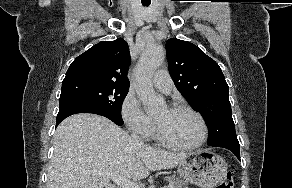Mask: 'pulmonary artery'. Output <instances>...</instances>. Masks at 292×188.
Returning <instances> with one entry per match:
<instances>
[{"label":"pulmonary artery","mask_w":292,"mask_h":188,"mask_svg":"<svg viewBox=\"0 0 292 188\" xmlns=\"http://www.w3.org/2000/svg\"><path fill=\"white\" fill-rule=\"evenodd\" d=\"M152 83L156 89L163 93H169L173 87V80L168 71L164 69L158 70L155 73Z\"/></svg>","instance_id":"obj_1"}]
</instances>
